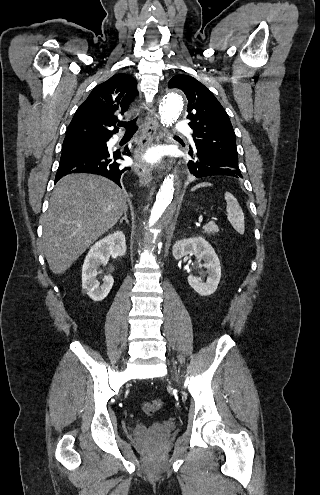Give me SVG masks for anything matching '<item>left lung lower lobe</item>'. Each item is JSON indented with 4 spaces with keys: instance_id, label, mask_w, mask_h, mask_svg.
Wrapping results in <instances>:
<instances>
[{
    "instance_id": "obj_1",
    "label": "left lung lower lobe",
    "mask_w": 320,
    "mask_h": 495,
    "mask_svg": "<svg viewBox=\"0 0 320 495\" xmlns=\"http://www.w3.org/2000/svg\"><path fill=\"white\" fill-rule=\"evenodd\" d=\"M192 160L188 163L190 173L197 178L205 176L225 175L242 177L238 163L212 153L202 147H194L189 151Z\"/></svg>"
}]
</instances>
